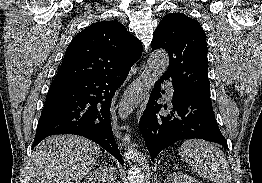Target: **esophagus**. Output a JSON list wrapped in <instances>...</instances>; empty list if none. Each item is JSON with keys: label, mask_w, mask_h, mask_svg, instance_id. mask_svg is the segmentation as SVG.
<instances>
[{"label": "esophagus", "mask_w": 262, "mask_h": 183, "mask_svg": "<svg viewBox=\"0 0 262 183\" xmlns=\"http://www.w3.org/2000/svg\"><path fill=\"white\" fill-rule=\"evenodd\" d=\"M147 98L144 100V102L141 104L140 109L138 111V114L141 115V113L143 112L144 108H145V104H146Z\"/></svg>", "instance_id": "34e87169"}]
</instances>
